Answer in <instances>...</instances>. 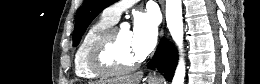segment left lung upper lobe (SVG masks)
Here are the masks:
<instances>
[{"instance_id":"left-lung-upper-lobe-1","label":"left lung upper lobe","mask_w":260,"mask_h":84,"mask_svg":"<svg viewBox=\"0 0 260 84\" xmlns=\"http://www.w3.org/2000/svg\"><path fill=\"white\" fill-rule=\"evenodd\" d=\"M117 0H84V4L76 15L73 44L77 46L86 28L92 20L106 7Z\"/></svg>"}]
</instances>
